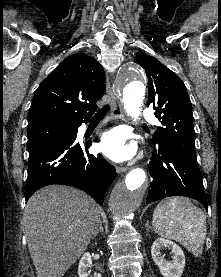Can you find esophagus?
I'll return each instance as SVG.
<instances>
[{
	"label": "esophagus",
	"instance_id": "1",
	"mask_svg": "<svg viewBox=\"0 0 221 277\" xmlns=\"http://www.w3.org/2000/svg\"><path fill=\"white\" fill-rule=\"evenodd\" d=\"M106 92H107V95L109 97V101L111 103V115L114 117V118H122L124 119V111H123V108H122V103H121V100L120 98L114 93V91L112 90V87H111V84H110V81H109V78L107 76V79H106ZM128 168L127 167H116V171L117 173H122V172H125Z\"/></svg>",
	"mask_w": 221,
	"mask_h": 277
}]
</instances>
